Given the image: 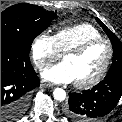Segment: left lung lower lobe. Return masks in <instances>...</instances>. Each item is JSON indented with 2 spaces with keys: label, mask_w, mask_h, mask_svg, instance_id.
Returning <instances> with one entry per match:
<instances>
[{
  "label": "left lung lower lobe",
  "mask_w": 122,
  "mask_h": 122,
  "mask_svg": "<svg viewBox=\"0 0 122 122\" xmlns=\"http://www.w3.org/2000/svg\"><path fill=\"white\" fill-rule=\"evenodd\" d=\"M122 95V70L108 73L99 84L82 93H69L64 114L76 121L83 122L110 113Z\"/></svg>",
  "instance_id": "1"
}]
</instances>
